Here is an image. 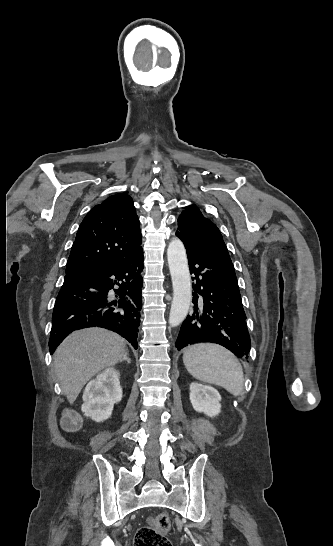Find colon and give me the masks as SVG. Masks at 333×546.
Returning a JSON list of instances; mask_svg holds the SVG:
<instances>
[{
    "mask_svg": "<svg viewBox=\"0 0 333 546\" xmlns=\"http://www.w3.org/2000/svg\"><path fill=\"white\" fill-rule=\"evenodd\" d=\"M171 520L167 513H159L155 517L154 526H143L135 535V546H171L166 534Z\"/></svg>",
    "mask_w": 333,
    "mask_h": 546,
    "instance_id": "1",
    "label": "colon"
}]
</instances>
